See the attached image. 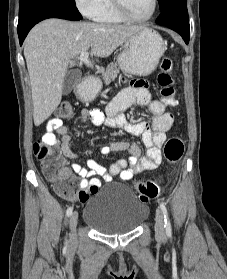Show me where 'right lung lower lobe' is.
I'll return each mask as SVG.
<instances>
[{
    "mask_svg": "<svg viewBox=\"0 0 227 279\" xmlns=\"http://www.w3.org/2000/svg\"><path fill=\"white\" fill-rule=\"evenodd\" d=\"M48 18L76 21L81 20L82 16L76 6L62 0H27L19 8L17 30L20 45L35 24Z\"/></svg>",
    "mask_w": 227,
    "mask_h": 279,
    "instance_id": "right-lung-lower-lobe-1",
    "label": "right lung lower lobe"
}]
</instances>
